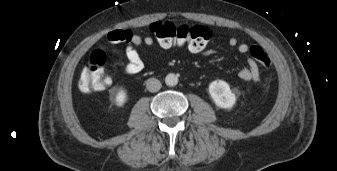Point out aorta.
<instances>
[{
    "instance_id": "1",
    "label": "aorta",
    "mask_w": 337,
    "mask_h": 171,
    "mask_svg": "<svg viewBox=\"0 0 337 171\" xmlns=\"http://www.w3.org/2000/svg\"><path fill=\"white\" fill-rule=\"evenodd\" d=\"M165 83L168 86H176L178 84V76L173 73H169L165 77Z\"/></svg>"
}]
</instances>
